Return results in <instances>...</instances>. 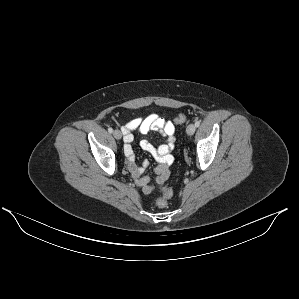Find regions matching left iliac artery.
Listing matches in <instances>:
<instances>
[{"label": "left iliac artery", "mask_w": 299, "mask_h": 299, "mask_svg": "<svg viewBox=\"0 0 299 299\" xmlns=\"http://www.w3.org/2000/svg\"><path fill=\"white\" fill-rule=\"evenodd\" d=\"M200 125V121L195 122V126L198 127Z\"/></svg>", "instance_id": "obj_1"}]
</instances>
